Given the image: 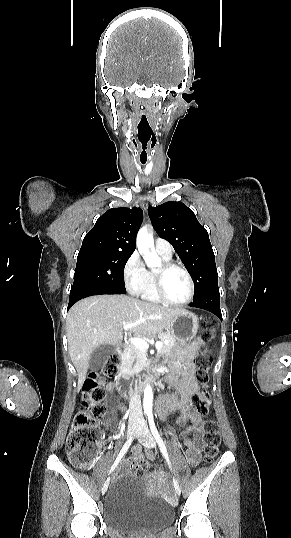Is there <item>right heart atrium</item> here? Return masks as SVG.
<instances>
[{"label": "right heart atrium", "instance_id": "obj_1", "mask_svg": "<svg viewBox=\"0 0 291 538\" xmlns=\"http://www.w3.org/2000/svg\"><path fill=\"white\" fill-rule=\"evenodd\" d=\"M123 280L129 293L140 295L147 278V270L138 251H133L122 269Z\"/></svg>", "mask_w": 291, "mask_h": 538}]
</instances>
